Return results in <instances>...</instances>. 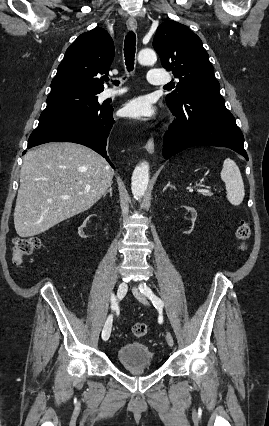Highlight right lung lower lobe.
I'll use <instances>...</instances> for the list:
<instances>
[{
	"mask_svg": "<svg viewBox=\"0 0 269 426\" xmlns=\"http://www.w3.org/2000/svg\"><path fill=\"white\" fill-rule=\"evenodd\" d=\"M112 113V107H101L91 112L38 126L29 137L27 148L52 141L74 142L93 149L115 169L106 152L108 135L115 122Z\"/></svg>",
	"mask_w": 269,
	"mask_h": 426,
	"instance_id": "1",
	"label": "right lung lower lobe"
}]
</instances>
